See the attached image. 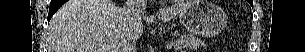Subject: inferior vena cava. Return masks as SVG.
Here are the masks:
<instances>
[{
  "instance_id": "602c4592",
  "label": "inferior vena cava",
  "mask_w": 305,
  "mask_h": 52,
  "mask_svg": "<svg viewBox=\"0 0 305 52\" xmlns=\"http://www.w3.org/2000/svg\"><path fill=\"white\" fill-rule=\"evenodd\" d=\"M147 0H127L125 7L122 9L124 22L127 31L122 34L117 52H136L135 37L130 30L139 23L141 15L144 13Z\"/></svg>"
}]
</instances>
